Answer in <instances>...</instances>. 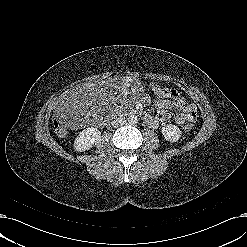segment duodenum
I'll return each instance as SVG.
<instances>
[{
  "label": "duodenum",
  "mask_w": 247,
  "mask_h": 247,
  "mask_svg": "<svg viewBox=\"0 0 247 247\" xmlns=\"http://www.w3.org/2000/svg\"><path fill=\"white\" fill-rule=\"evenodd\" d=\"M128 114L137 116V117L141 118L143 121H145L146 123H150L152 121V117L148 113H146L140 109H133Z\"/></svg>",
  "instance_id": "410a0bca"
}]
</instances>
